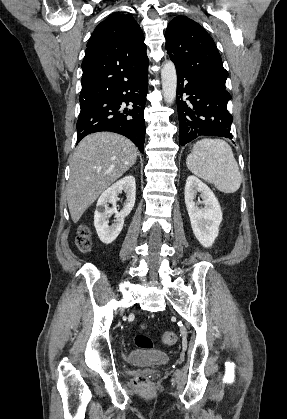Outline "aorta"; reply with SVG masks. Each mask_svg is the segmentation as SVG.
I'll return each instance as SVG.
<instances>
[{
    "mask_svg": "<svg viewBox=\"0 0 287 419\" xmlns=\"http://www.w3.org/2000/svg\"><path fill=\"white\" fill-rule=\"evenodd\" d=\"M161 82L164 100L166 103L172 104L177 91V73L172 61H167L163 64L161 69Z\"/></svg>",
    "mask_w": 287,
    "mask_h": 419,
    "instance_id": "obj_1",
    "label": "aorta"
}]
</instances>
